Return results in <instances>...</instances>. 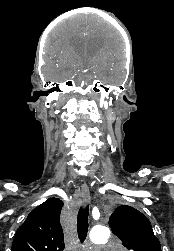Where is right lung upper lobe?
Returning a JSON list of instances; mask_svg holds the SVG:
<instances>
[{"label":"right lung upper lobe","mask_w":174,"mask_h":251,"mask_svg":"<svg viewBox=\"0 0 174 251\" xmlns=\"http://www.w3.org/2000/svg\"><path fill=\"white\" fill-rule=\"evenodd\" d=\"M62 206L60 199L52 197L31 211L18 228L11 251H63Z\"/></svg>","instance_id":"right-lung-upper-lobe-1"}]
</instances>
